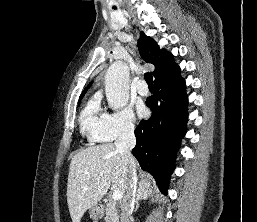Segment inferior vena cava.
<instances>
[{"label":"inferior vena cava","instance_id":"1","mask_svg":"<svg viewBox=\"0 0 257 222\" xmlns=\"http://www.w3.org/2000/svg\"><path fill=\"white\" fill-rule=\"evenodd\" d=\"M135 144L134 125L132 123L125 124L115 141L116 149L124 155L128 163L129 173L128 191L121 205V222H130V216L136 202L137 173L135 160L131 154V150L135 147Z\"/></svg>","mask_w":257,"mask_h":222}]
</instances>
